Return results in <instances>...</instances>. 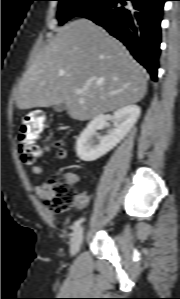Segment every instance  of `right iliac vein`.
I'll return each mask as SVG.
<instances>
[{"instance_id": "63e3f726", "label": "right iliac vein", "mask_w": 180, "mask_h": 299, "mask_svg": "<svg viewBox=\"0 0 180 299\" xmlns=\"http://www.w3.org/2000/svg\"><path fill=\"white\" fill-rule=\"evenodd\" d=\"M84 230L83 228H78V230L74 233V236L70 243V254L72 256L76 255L81 247L83 241Z\"/></svg>"}]
</instances>
